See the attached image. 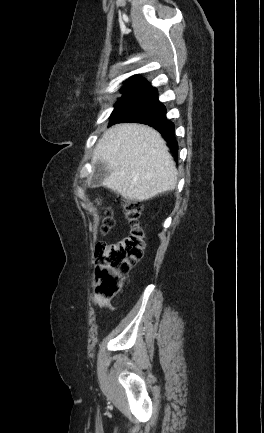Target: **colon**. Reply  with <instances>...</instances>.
Masks as SVG:
<instances>
[{
	"instance_id": "1",
	"label": "colon",
	"mask_w": 264,
	"mask_h": 433,
	"mask_svg": "<svg viewBox=\"0 0 264 433\" xmlns=\"http://www.w3.org/2000/svg\"><path fill=\"white\" fill-rule=\"evenodd\" d=\"M121 205L130 227L128 235L117 242L98 243L95 250L96 289L107 299L119 293L123 278L142 258L145 249V233L140 226L141 203L122 200ZM112 226L113 219L107 212L101 224L102 233H107Z\"/></svg>"
}]
</instances>
